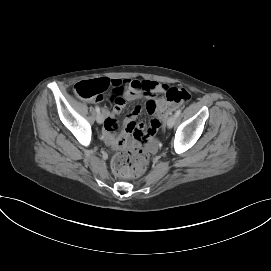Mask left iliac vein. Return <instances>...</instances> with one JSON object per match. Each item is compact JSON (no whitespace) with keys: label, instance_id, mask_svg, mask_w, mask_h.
Listing matches in <instances>:
<instances>
[{"label":"left iliac vein","instance_id":"obj_1","mask_svg":"<svg viewBox=\"0 0 271 271\" xmlns=\"http://www.w3.org/2000/svg\"><path fill=\"white\" fill-rule=\"evenodd\" d=\"M176 119H177V117L175 115L170 116L167 120V123H166L167 127L172 128L176 122Z\"/></svg>","mask_w":271,"mask_h":271}]
</instances>
